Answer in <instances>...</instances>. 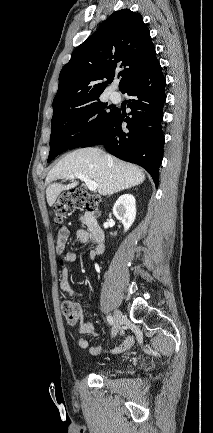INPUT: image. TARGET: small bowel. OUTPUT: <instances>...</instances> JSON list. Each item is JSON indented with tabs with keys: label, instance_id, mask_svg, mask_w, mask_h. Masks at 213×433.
I'll list each match as a JSON object with an SVG mask.
<instances>
[{
	"label": "small bowel",
	"instance_id": "small-bowel-1",
	"mask_svg": "<svg viewBox=\"0 0 213 433\" xmlns=\"http://www.w3.org/2000/svg\"><path fill=\"white\" fill-rule=\"evenodd\" d=\"M69 235H70V231L68 227L64 226L59 229L55 238V250L58 255L62 256L63 263H72L76 261L77 258L75 252L73 251L66 252V245L68 242ZM76 238L81 244H85L90 240L93 241L90 230L83 229V228L78 229L76 231ZM94 245H95L94 249L91 250L89 254L91 260H94L96 256L102 254L104 250L103 244H97L94 242ZM68 274H69V270L67 266L63 264L60 271V288L64 291H71V287L68 281ZM79 332L81 334H95V327L91 322H83L79 326ZM77 343L81 349H87L89 347L88 342L83 338H80ZM133 343H134L133 337L127 336L120 345L112 349V352L113 353L123 352L129 349L133 345ZM89 351L92 354H98L101 351V347L100 346L90 347Z\"/></svg>",
	"mask_w": 213,
	"mask_h": 433
}]
</instances>
